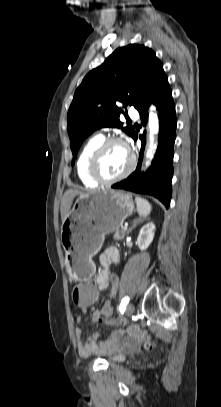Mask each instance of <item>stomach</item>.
I'll return each instance as SVG.
<instances>
[{
    "label": "stomach",
    "mask_w": 221,
    "mask_h": 407,
    "mask_svg": "<svg viewBox=\"0 0 221 407\" xmlns=\"http://www.w3.org/2000/svg\"><path fill=\"white\" fill-rule=\"evenodd\" d=\"M133 209L131 196L123 191L107 189L79 196L60 235L73 280L82 282L92 276V257L101 249L105 235L118 231Z\"/></svg>",
    "instance_id": "stomach-1"
}]
</instances>
